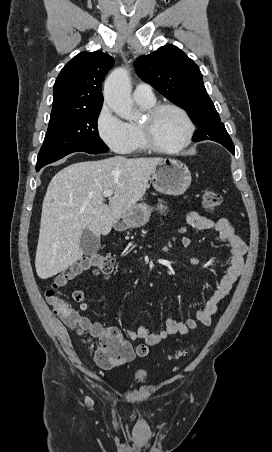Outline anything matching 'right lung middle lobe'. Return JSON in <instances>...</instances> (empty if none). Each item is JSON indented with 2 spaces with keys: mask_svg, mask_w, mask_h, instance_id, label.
<instances>
[{
  "mask_svg": "<svg viewBox=\"0 0 272 452\" xmlns=\"http://www.w3.org/2000/svg\"><path fill=\"white\" fill-rule=\"evenodd\" d=\"M101 108L51 115L37 161L58 157L73 150L92 154L108 151L97 131Z\"/></svg>",
  "mask_w": 272,
  "mask_h": 452,
  "instance_id": "dd1d6c3e",
  "label": "right lung middle lobe"
}]
</instances>
